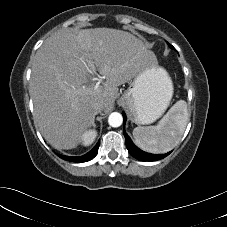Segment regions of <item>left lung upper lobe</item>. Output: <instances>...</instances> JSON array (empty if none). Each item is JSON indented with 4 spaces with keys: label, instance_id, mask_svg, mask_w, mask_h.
Wrapping results in <instances>:
<instances>
[{
    "label": "left lung upper lobe",
    "instance_id": "left-lung-upper-lobe-1",
    "mask_svg": "<svg viewBox=\"0 0 227 227\" xmlns=\"http://www.w3.org/2000/svg\"><path fill=\"white\" fill-rule=\"evenodd\" d=\"M169 46H170V48H174L173 46H171L170 44H169Z\"/></svg>",
    "mask_w": 227,
    "mask_h": 227
}]
</instances>
